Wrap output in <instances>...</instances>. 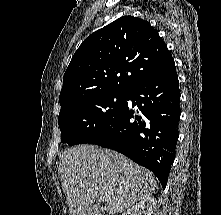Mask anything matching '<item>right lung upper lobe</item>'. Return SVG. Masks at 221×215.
<instances>
[{
	"label": "right lung upper lobe",
	"mask_w": 221,
	"mask_h": 215,
	"mask_svg": "<svg viewBox=\"0 0 221 215\" xmlns=\"http://www.w3.org/2000/svg\"><path fill=\"white\" fill-rule=\"evenodd\" d=\"M172 59L147 21L121 17L91 34L75 52L63 77L61 109L106 93H127Z\"/></svg>",
	"instance_id": "right-lung-upper-lobe-1"
}]
</instances>
